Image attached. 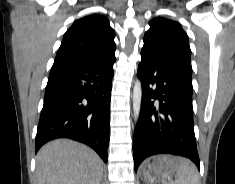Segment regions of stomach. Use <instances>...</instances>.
Returning <instances> with one entry per match:
<instances>
[{"label": "stomach", "instance_id": "stomach-1", "mask_svg": "<svg viewBox=\"0 0 235 184\" xmlns=\"http://www.w3.org/2000/svg\"><path fill=\"white\" fill-rule=\"evenodd\" d=\"M179 164L176 156H155L152 162L140 168V178L146 184H158L160 180H171Z\"/></svg>", "mask_w": 235, "mask_h": 184}]
</instances>
